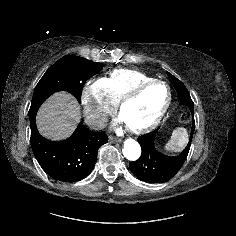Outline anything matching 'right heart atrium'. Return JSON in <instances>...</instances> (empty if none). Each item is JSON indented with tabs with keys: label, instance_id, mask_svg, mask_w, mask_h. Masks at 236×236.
Masks as SVG:
<instances>
[{
	"label": "right heart atrium",
	"instance_id": "right-heart-atrium-1",
	"mask_svg": "<svg viewBox=\"0 0 236 236\" xmlns=\"http://www.w3.org/2000/svg\"><path fill=\"white\" fill-rule=\"evenodd\" d=\"M81 102L87 123L92 128H100L107 116L115 108L107 95L103 78L88 81L81 93Z\"/></svg>",
	"mask_w": 236,
	"mask_h": 236
}]
</instances>
